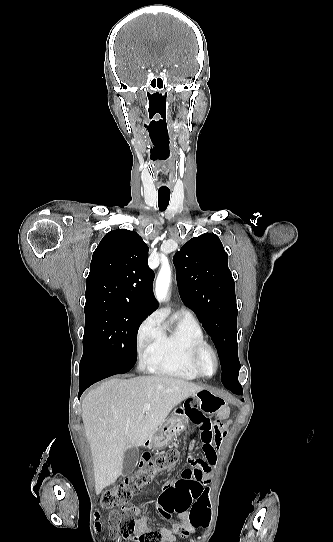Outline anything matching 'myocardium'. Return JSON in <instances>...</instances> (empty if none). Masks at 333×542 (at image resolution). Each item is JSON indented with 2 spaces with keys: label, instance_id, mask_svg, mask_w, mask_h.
I'll return each mask as SVG.
<instances>
[{
  "label": "myocardium",
  "instance_id": "obj_1",
  "mask_svg": "<svg viewBox=\"0 0 333 542\" xmlns=\"http://www.w3.org/2000/svg\"><path fill=\"white\" fill-rule=\"evenodd\" d=\"M203 236H210V235H203ZM205 352L210 353L214 361V371L211 374L203 373L200 368V358ZM189 364L197 376L203 377V378H211L217 373L219 369V358H218L217 352L215 351V349L213 348L211 344H209L206 341H201L199 343H196L191 348L190 355H189Z\"/></svg>",
  "mask_w": 333,
  "mask_h": 542
}]
</instances>
